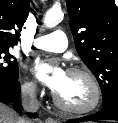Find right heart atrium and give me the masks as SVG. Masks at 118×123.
Segmentation results:
<instances>
[{"label": "right heart atrium", "mask_w": 118, "mask_h": 123, "mask_svg": "<svg viewBox=\"0 0 118 123\" xmlns=\"http://www.w3.org/2000/svg\"><path fill=\"white\" fill-rule=\"evenodd\" d=\"M23 93L28 97H33L36 95L37 85L34 81H26L22 86Z\"/></svg>", "instance_id": "right-heart-atrium-1"}]
</instances>
